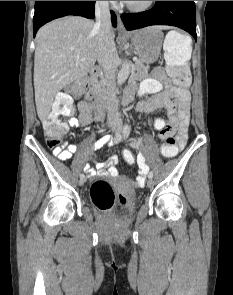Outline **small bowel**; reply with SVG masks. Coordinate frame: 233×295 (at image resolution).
Segmentation results:
<instances>
[{
	"mask_svg": "<svg viewBox=\"0 0 233 295\" xmlns=\"http://www.w3.org/2000/svg\"><path fill=\"white\" fill-rule=\"evenodd\" d=\"M139 93L141 95L150 94L151 96L138 103L137 111L139 113L149 114L157 110H164L168 119L166 121L163 118H157L154 121L155 129L161 131L165 127H170L173 131H176L178 146L180 148L184 147L187 141V130L189 125V91L181 95H174L171 84L163 69L157 68L154 70L150 78L143 81ZM79 110L80 114L78 119L72 120L71 124L73 126H87L94 119L90 104L86 100H82L79 103ZM110 142L111 138L109 136H104L94 143L92 151L99 150ZM140 144V140L131 142L132 147H139ZM76 151L77 146L75 144H69L65 147H55L53 149V154L60 160L66 161L69 160ZM118 162V156L111 155L105 161L95 162L94 166L86 164L84 166V171L90 176L98 174L101 176L117 178L119 177V172L116 167ZM136 162L139 167L137 181L143 183L149 168L146 165L142 154H138Z\"/></svg>",
	"mask_w": 233,
	"mask_h": 295,
	"instance_id": "small-bowel-1",
	"label": "small bowel"
}]
</instances>
